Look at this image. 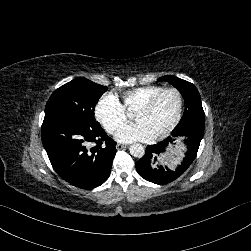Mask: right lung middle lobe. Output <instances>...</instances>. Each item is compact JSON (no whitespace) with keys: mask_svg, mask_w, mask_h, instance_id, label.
Instances as JSON below:
<instances>
[{"mask_svg":"<svg viewBox=\"0 0 251 251\" xmlns=\"http://www.w3.org/2000/svg\"><path fill=\"white\" fill-rule=\"evenodd\" d=\"M107 87L84 77L76 78L55 90L50 96L46 115H65L85 122L94 121V108Z\"/></svg>","mask_w":251,"mask_h":251,"instance_id":"obj_1","label":"right lung middle lobe"}]
</instances>
